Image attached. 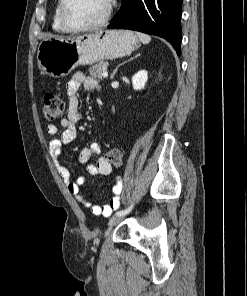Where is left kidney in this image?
I'll return each instance as SVG.
<instances>
[{"mask_svg":"<svg viewBox=\"0 0 247 296\" xmlns=\"http://www.w3.org/2000/svg\"><path fill=\"white\" fill-rule=\"evenodd\" d=\"M148 80V72L141 70L132 77V85L134 90L144 89Z\"/></svg>","mask_w":247,"mask_h":296,"instance_id":"1","label":"left kidney"}]
</instances>
